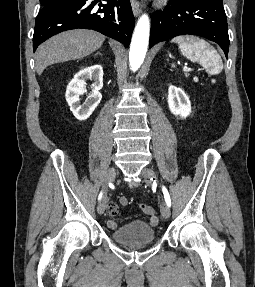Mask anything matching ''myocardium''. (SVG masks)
<instances>
[{"mask_svg":"<svg viewBox=\"0 0 255 287\" xmlns=\"http://www.w3.org/2000/svg\"><path fill=\"white\" fill-rule=\"evenodd\" d=\"M146 39H159V38H146ZM163 48H168V47H163Z\"/></svg>","mask_w":255,"mask_h":287,"instance_id":"myocardium-1","label":"myocardium"}]
</instances>
